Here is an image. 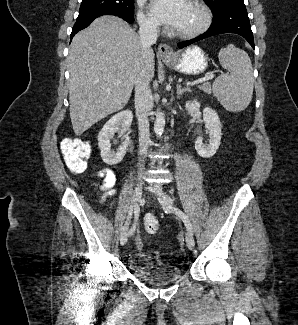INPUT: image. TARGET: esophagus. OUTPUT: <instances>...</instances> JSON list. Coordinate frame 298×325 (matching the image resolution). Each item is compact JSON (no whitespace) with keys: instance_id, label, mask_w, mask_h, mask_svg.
<instances>
[{"instance_id":"34e87169","label":"esophagus","mask_w":298,"mask_h":325,"mask_svg":"<svg viewBox=\"0 0 298 325\" xmlns=\"http://www.w3.org/2000/svg\"><path fill=\"white\" fill-rule=\"evenodd\" d=\"M158 54L161 56V58L170 60L174 56V51L169 45L161 43L158 47Z\"/></svg>"}]
</instances>
